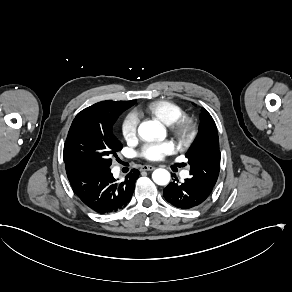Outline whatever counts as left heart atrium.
Segmentation results:
<instances>
[{
    "instance_id": "obj_1",
    "label": "left heart atrium",
    "mask_w": 292,
    "mask_h": 292,
    "mask_svg": "<svg viewBox=\"0 0 292 292\" xmlns=\"http://www.w3.org/2000/svg\"><path fill=\"white\" fill-rule=\"evenodd\" d=\"M175 151L176 147L171 141L151 142L143 148L141 155L149 161H161Z\"/></svg>"
}]
</instances>
